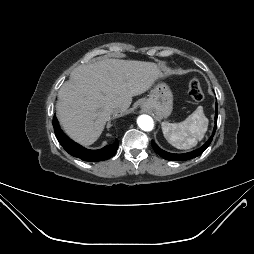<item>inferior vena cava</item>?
Listing matches in <instances>:
<instances>
[{"mask_svg":"<svg viewBox=\"0 0 254 254\" xmlns=\"http://www.w3.org/2000/svg\"><path fill=\"white\" fill-rule=\"evenodd\" d=\"M122 109H123L122 106H115V107L113 108V111L116 112V113H118V112H120Z\"/></svg>","mask_w":254,"mask_h":254,"instance_id":"1","label":"inferior vena cava"}]
</instances>
